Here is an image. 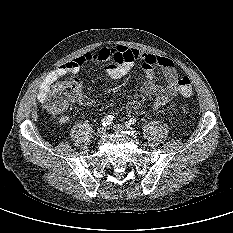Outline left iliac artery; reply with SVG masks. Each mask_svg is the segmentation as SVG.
Wrapping results in <instances>:
<instances>
[{
    "instance_id": "left-iliac-artery-1",
    "label": "left iliac artery",
    "mask_w": 233,
    "mask_h": 233,
    "mask_svg": "<svg viewBox=\"0 0 233 233\" xmlns=\"http://www.w3.org/2000/svg\"><path fill=\"white\" fill-rule=\"evenodd\" d=\"M128 122L130 123V125H134V124H136V119L135 118H130L128 120Z\"/></svg>"
}]
</instances>
